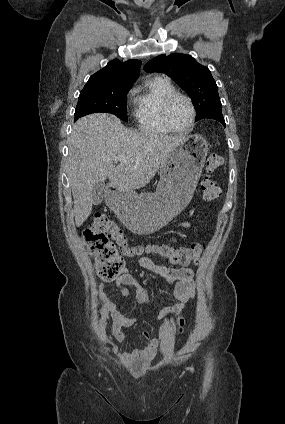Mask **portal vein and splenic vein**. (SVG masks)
Returning a JSON list of instances; mask_svg holds the SVG:
<instances>
[{
	"label": "portal vein and splenic vein",
	"mask_w": 285,
	"mask_h": 424,
	"mask_svg": "<svg viewBox=\"0 0 285 424\" xmlns=\"http://www.w3.org/2000/svg\"><path fill=\"white\" fill-rule=\"evenodd\" d=\"M116 161H123L126 162V159L123 157V155H119L115 158Z\"/></svg>",
	"instance_id": "1"
}]
</instances>
